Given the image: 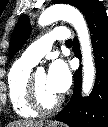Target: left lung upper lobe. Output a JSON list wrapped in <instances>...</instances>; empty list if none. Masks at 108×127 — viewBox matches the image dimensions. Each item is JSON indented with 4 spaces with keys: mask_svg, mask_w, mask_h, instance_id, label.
<instances>
[{
    "mask_svg": "<svg viewBox=\"0 0 108 127\" xmlns=\"http://www.w3.org/2000/svg\"><path fill=\"white\" fill-rule=\"evenodd\" d=\"M82 2L83 0H52L53 4L66 3L77 8H79ZM30 32V20L27 15H22L19 18L11 36L9 58H12L13 55L23 46L24 42L28 39Z\"/></svg>",
    "mask_w": 108,
    "mask_h": 127,
    "instance_id": "5c2ea615",
    "label": "left lung upper lobe"
}]
</instances>
